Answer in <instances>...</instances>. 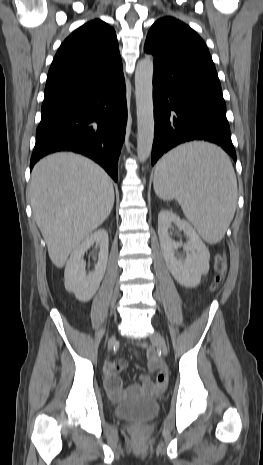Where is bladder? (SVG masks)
<instances>
[{"mask_svg": "<svg viewBox=\"0 0 263 465\" xmlns=\"http://www.w3.org/2000/svg\"><path fill=\"white\" fill-rule=\"evenodd\" d=\"M160 411L157 400L148 397H138L118 403L114 408V415L123 420L149 421L154 419Z\"/></svg>", "mask_w": 263, "mask_h": 465, "instance_id": "1", "label": "bladder"}]
</instances>
